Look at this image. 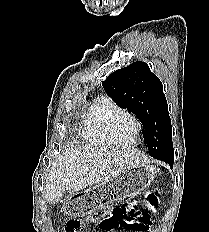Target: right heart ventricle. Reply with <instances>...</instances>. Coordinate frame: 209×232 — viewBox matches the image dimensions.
I'll return each mask as SVG.
<instances>
[{"label":"right heart ventricle","mask_w":209,"mask_h":232,"mask_svg":"<svg viewBox=\"0 0 209 232\" xmlns=\"http://www.w3.org/2000/svg\"><path fill=\"white\" fill-rule=\"evenodd\" d=\"M118 110L120 108L106 96H100L93 102L82 127L83 137L90 145L98 148L114 146L107 135V124L112 114ZM131 145H135V140L131 141Z\"/></svg>","instance_id":"1"}]
</instances>
